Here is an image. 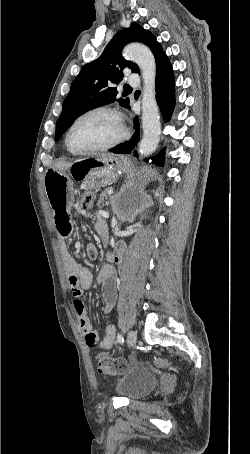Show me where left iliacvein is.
I'll return each mask as SVG.
<instances>
[{
	"label": "left iliac vein",
	"instance_id": "4c4485c4",
	"mask_svg": "<svg viewBox=\"0 0 250 454\" xmlns=\"http://www.w3.org/2000/svg\"><path fill=\"white\" fill-rule=\"evenodd\" d=\"M128 341L131 343V344H135L136 341H137V334L135 331L133 330H130L129 333H128Z\"/></svg>",
	"mask_w": 250,
	"mask_h": 454
}]
</instances>
